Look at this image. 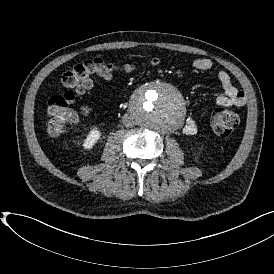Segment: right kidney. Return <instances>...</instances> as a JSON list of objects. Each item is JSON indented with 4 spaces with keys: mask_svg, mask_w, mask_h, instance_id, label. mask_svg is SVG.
<instances>
[{
    "mask_svg": "<svg viewBox=\"0 0 274 274\" xmlns=\"http://www.w3.org/2000/svg\"><path fill=\"white\" fill-rule=\"evenodd\" d=\"M101 137V132L98 130V128H92L88 135L86 136V139L83 141V147L84 149H92L93 146L97 143V141Z\"/></svg>",
    "mask_w": 274,
    "mask_h": 274,
    "instance_id": "ca27d5eb",
    "label": "right kidney"
}]
</instances>
